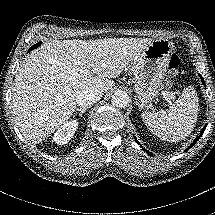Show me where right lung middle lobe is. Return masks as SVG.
Listing matches in <instances>:
<instances>
[{
  "instance_id": "obj_1",
  "label": "right lung middle lobe",
  "mask_w": 215,
  "mask_h": 215,
  "mask_svg": "<svg viewBox=\"0 0 215 215\" xmlns=\"http://www.w3.org/2000/svg\"><path fill=\"white\" fill-rule=\"evenodd\" d=\"M40 45H41V42L35 44L34 46H32V47L29 49V51H31V50L37 48V47L40 46Z\"/></svg>"
}]
</instances>
